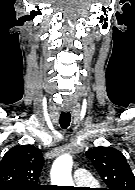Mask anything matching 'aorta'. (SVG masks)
<instances>
[{"instance_id":"aorta-1","label":"aorta","mask_w":135,"mask_h":190,"mask_svg":"<svg viewBox=\"0 0 135 190\" xmlns=\"http://www.w3.org/2000/svg\"><path fill=\"white\" fill-rule=\"evenodd\" d=\"M72 165V158L68 154L57 158L51 170L52 183L58 186H73L71 177Z\"/></svg>"}]
</instances>
